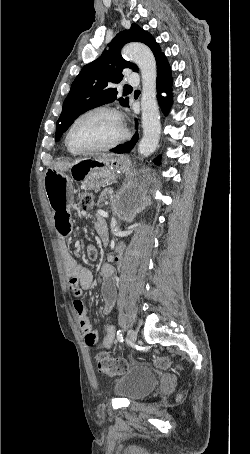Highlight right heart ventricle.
<instances>
[{"label":"right heart ventricle","mask_w":250,"mask_h":454,"mask_svg":"<svg viewBox=\"0 0 250 454\" xmlns=\"http://www.w3.org/2000/svg\"><path fill=\"white\" fill-rule=\"evenodd\" d=\"M67 149H68V151H69L70 153H73V152L68 148V146H67Z\"/></svg>","instance_id":"right-heart-ventricle-1"}]
</instances>
